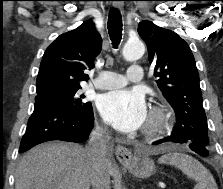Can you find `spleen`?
Returning <instances> with one entry per match:
<instances>
[{
    "label": "spleen",
    "mask_w": 223,
    "mask_h": 189,
    "mask_svg": "<svg viewBox=\"0 0 223 189\" xmlns=\"http://www.w3.org/2000/svg\"><path fill=\"white\" fill-rule=\"evenodd\" d=\"M159 163L169 164L181 170L197 182L194 189H218L212 174L198 160L189 155L170 152L159 158Z\"/></svg>",
    "instance_id": "3e777b00"
}]
</instances>
